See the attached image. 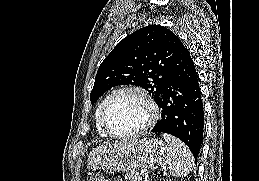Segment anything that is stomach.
<instances>
[{
  "label": "stomach",
  "instance_id": "stomach-1",
  "mask_svg": "<svg viewBox=\"0 0 259 181\" xmlns=\"http://www.w3.org/2000/svg\"><path fill=\"white\" fill-rule=\"evenodd\" d=\"M168 155V147L160 139H135L99 146L89 154L87 166L93 170L132 172L138 168L160 166Z\"/></svg>",
  "mask_w": 259,
  "mask_h": 181
}]
</instances>
